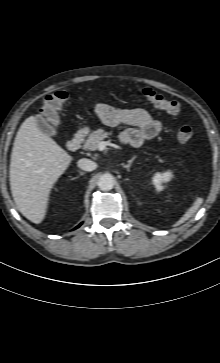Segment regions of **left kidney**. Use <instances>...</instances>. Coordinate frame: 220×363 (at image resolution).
I'll use <instances>...</instances> for the list:
<instances>
[{
	"label": "left kidney",
	"mask_w": 220,
	"mask_h": 363,
	"mask_svg": "<svg viewBox=\"0 0 220 363\" xmlns=\"http://www.w3.org/2000/svg\"><path fill=\"white\" fill-rule=\"evenodd\" d=\"M172 177V173L170 171L164 173H156L152 177V183L155 186L157 192H160L164 189L163 183L168 182Z\"/></svg>",
	"instance_id": "obj_1"
}]
</instances>
